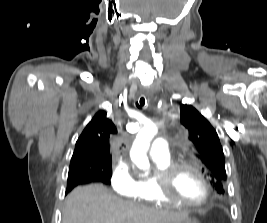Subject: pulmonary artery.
I'll return each instance as SVG.
<instances>
[{
  "label": "pulmonary artery",
  "mask_w": 267,
  "mask_h": 223,
  "mask_svg": "<svg viewBox=\"0 0 267 223\" xmlns=\"http://www.w3.org/2000/svg\"><path fill=\"white\" fill-rule=\"evenodd\" d=\"M149 155L153 158L166 160L170 157L169 144L165 139H156L150 146Z\"/></svg>",
  "instance_id": "obj_1"
}]
</instances>
